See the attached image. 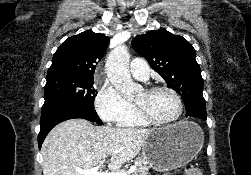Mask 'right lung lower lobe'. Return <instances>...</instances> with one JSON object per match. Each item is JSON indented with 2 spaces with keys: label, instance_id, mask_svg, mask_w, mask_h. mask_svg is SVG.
I'll return each mask as SVG.
<instances>
[{
  "label": "right lung lower lobe",
  "instance_id": "obj_1",
  "mask_svg": "<svg viewBox=\"0 0 251 175\" xmlns=\"http://www.w3.org/2000/svg\"><path fill=\"white\" fill-rule=\"evenodd\" d=\"M74 118H82L102 125L94 106H86L65 100H46L42 106L40 119V133L38 145L42 142L48 132L58 123Z\"/></svg>",
  "mask_w": 251,
  "mask_h": 175
}]
</instances>
